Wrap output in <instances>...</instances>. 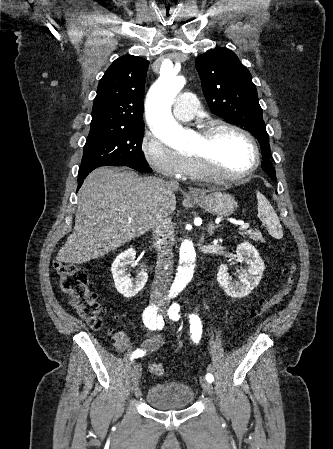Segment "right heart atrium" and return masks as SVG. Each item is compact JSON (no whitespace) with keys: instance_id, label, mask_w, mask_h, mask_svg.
<instances>
[{"instance_id":"obj_1","label":"right heart atrium","mask_w":333,"mask_h":449,"mask_svg":"<svg viewBox=\"0 0 333 449\" xmlns=\"http://www.w3.org/2000/svg\"><path fill=\"white\" fill-rule=\"evenodd\" d=\"M141 152L145 161L159 174L171 178L184 176L187 157L150 131H147L142 138Z\"/></svg>"}]
</instances>
